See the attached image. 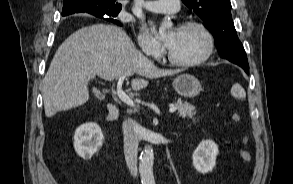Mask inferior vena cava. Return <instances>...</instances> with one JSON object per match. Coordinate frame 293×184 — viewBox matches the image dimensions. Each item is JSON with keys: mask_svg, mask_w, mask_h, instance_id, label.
<instances>
[{"mask_svg": "<svg viewBox=\"0 0 293 184\" xmlns=\"http://www.w3.org/2000/svg\"><path fill=\"white\" fill-rule=\"evenodd\" d=\"M124 137V156L127 167L133 177L137 176V149L139 144L138 124L131 118L122 124Z\"/></svg>", "mask_w": 293, "mask_h": 184, "instance_id": "obj_1", "label": "inferior vena cava"}]
</instances>
